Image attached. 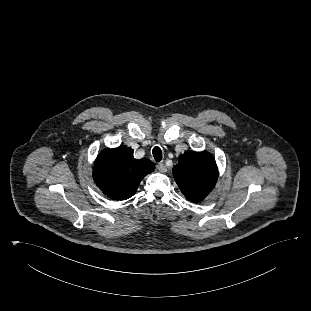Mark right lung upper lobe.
I'll use <instances>...</instances> for the list:
<instances>
[{
  "mask_svg": "<svg viewBox=\"0 0 311 311\" xmlns=\"http://www.w3.org/2000/svg\"><path fill=\"white\" fill-rule=\"evenodd\" d=\"M154 168L150 160L135 159L133 149L123 146L104 149L95 160L92 177L103 194L125 200L135 194L141 180Z\"/></svg>",
  "mask_w": 311,
  "mask_h": 311,
  "instance_id": "cb5924a9",
  "label": "right lung upper lobe"
}]
</instances>
